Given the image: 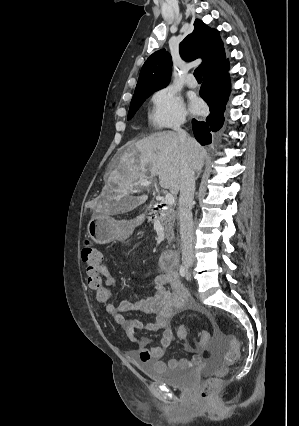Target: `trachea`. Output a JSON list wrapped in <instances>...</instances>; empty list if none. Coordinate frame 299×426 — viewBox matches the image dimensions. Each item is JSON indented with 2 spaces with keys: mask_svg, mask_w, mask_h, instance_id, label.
Here are the masks:
<instances>
[{
  "mask_svg": "<svg viewBox=\"0 0 299 426\" xmlns=\"http://www.w3.org/2000/svg\"><path fill=\"white\" fill-rule=\"evenodd\" d=\"M194 76L197 80H202V72H201V68L197 67L194 71Z\"/></svg>",
  "mask_w": 299,
  "mask_h": 426,
  "instance_id": "trachea-1",
  "label": "trachea"
}]
</instances>
